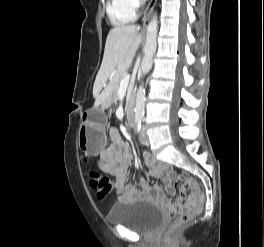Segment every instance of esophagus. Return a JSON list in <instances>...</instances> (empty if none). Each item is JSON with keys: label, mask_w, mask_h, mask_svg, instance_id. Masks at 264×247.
<instances>
[{"label": "esophagus", "mask_w": 264, "mask_h": 247, "mask_svg": "<svg viewBox=\"0 0 264 247\" xmlns=\"http://www.w3.org/2000/svg\"><path fill=\"white\" fill-rule=\"evenodd\" d=\"M157 0H150L145 12H144V17H143V22L146 21L148 15L150 14V12L152 11L154 5L156 4Z\"/></svg>", "instance_id": "obj_1"}]
</instances>
